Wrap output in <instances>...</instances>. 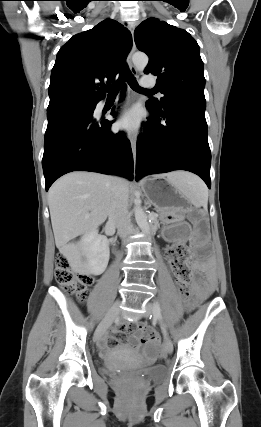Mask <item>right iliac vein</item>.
<instances>
[{"label":"right iliac vein","instance_id":"1","mask_svg":"<svg viewBox=\"0 0 261 427\" xmlns=\"http://www.w3.org/2000/svg\"><path fill=\"white\" fill-rule=\"evenodd\" d=\"M120 311V301H116L110 310L108 311L105 318L102 320V322L97 327L95 334H94V340L98 341L106 332V330L111 326L114 319L117 317L118 313Z\"/></svg>","mask_w":261,"mask_h":427}]
</instances>
